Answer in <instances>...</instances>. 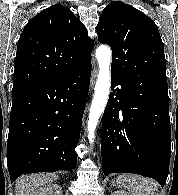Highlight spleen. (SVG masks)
<instances>
[{
	"label": "spleen",
	"mask_w": 178,
	"mask_h": 195,
	"mask_svg": "<svg viewBox=\"0 0 178 195\" xmlns=\"http://www.w3.org/2000/svg\"><path fill=\"white\" fill-rule=\"evenodd\" d=\"M118 186L130 191V195H159L157 183L135 174H121L116 178Z\"/></svg>",
	"instance_id": "3e777b00"
}]
</instances>
